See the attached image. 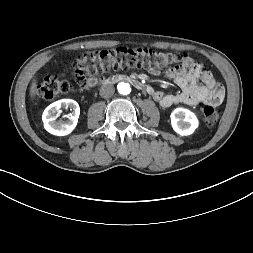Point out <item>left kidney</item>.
Wrapping results in <instances>:
<instances>
[{
    "label": "left kidney",
    "mask_w": 253,
    "mask_h": 253,
    "mask_svg": "<svg viewBox=\"0 0 253 253\" xmlns=\"http://www.w3.org/2000/svg\"><path fill=\"white\" fill-rule=\"evenodd\" d=\"M170 117L173 130L181 136L191 135L199 124L192 111L181 107L174 109Z\"/></svg>",
    "instance_id": "left-kidney-1"
}]
</instances>
